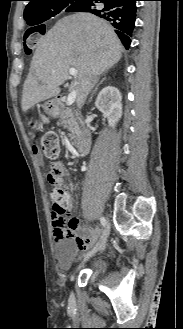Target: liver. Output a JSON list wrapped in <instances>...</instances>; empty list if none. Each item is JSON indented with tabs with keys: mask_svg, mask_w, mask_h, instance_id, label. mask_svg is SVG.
Here are the masks:
<instances>
[{
	"mask_svg": "<svg viewBox=\"0 0 183 329\" xmlns=\"http://www.w3.org/2000/svg\"><path fill=\"white\" fill-rule=\"evenodd\" d=\"M123 46L105 20L90 13H76L60 19L39 41L22 90V110L60 93V85L78 71L82 82L95 84L99 75L121 58Z\"/></svg>",
	"mask_w": 183,
	"mask_h": 329,
	"instance_id": "obj_1",
	"label": "liver"
}]
</instances>
